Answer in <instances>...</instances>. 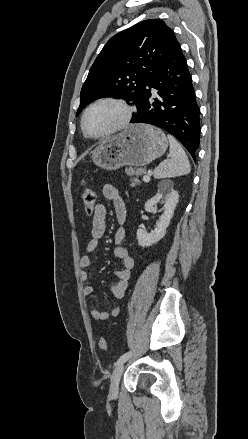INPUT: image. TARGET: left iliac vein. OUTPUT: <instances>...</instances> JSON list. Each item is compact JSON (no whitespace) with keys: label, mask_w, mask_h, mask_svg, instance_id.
I'll list each match as a JSON object with an SVG mask.
<instances>
[{"label":"left iliac vein","mask_w":248,"mask_h":439,"mask_svg":"<svg viewBox=\"0 0 248 439\" xmlns=\"http://www.w3.org/2000/svg\"><path fill=\"white\" fill-rule=\"evenodd\" d=\"M124 371V362H121L117 364L115 367L112 375H111V381H110V395L112 397H116L119 392V382L120 378Z\"/></svg>","instance_id":"left-iliac-vein-1"}]
</instances>
